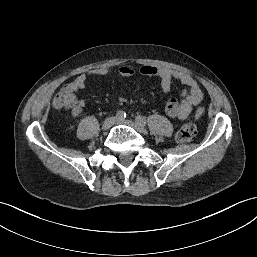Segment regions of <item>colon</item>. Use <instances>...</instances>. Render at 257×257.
<instances>
[{"label":"colon","instance_id":"colon-1","mask_svg":"<svg viewBox=\"0 0 257 257\" xmlns=\"http://www.w3.org/2000/svg\"><path fill=\"white\" fill-rule=\"evenodd\" d=\"M58 108H67L74 110L77 106L76 99L66 89L59 92L54 100ZM197 134V126L194 119L186 122L177 132L176 139L181 143L192 141Z\"/></svg>","mask_w":257,"mask_h":257}]
</instances>
